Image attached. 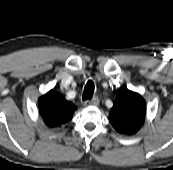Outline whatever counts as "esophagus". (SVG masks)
Segmentation results:
<instances>
[{"mask_svg": "<svg viewBox=\"0 0 173 170\" xmlns=\"http://www.w3.org/2000/svg\"><path fill=\"white\" fill-rule=\"evenodd\" d=\"M99 98L98 97H93L92 99L90 100H86L84 102V105L85 106H98L99 105Z\"/></svg>", "mask_w": 173, "mask_h": 170, "instance_id": "obj_1", "label": "esophagus"}]
</instances>
